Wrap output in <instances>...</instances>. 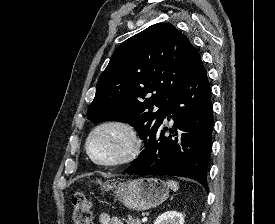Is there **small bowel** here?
I'll return each mask as SVG.
<instances>
[{
    "mask_svg": "<svg viewBox=\"0 0 275 224\" xmlns=\"http://www.w3.org/2000/svg\"><path fill=\"white\" fill-rule=\"evenodd\" d=\"M98 221L100 224H124L119 217L111 216L106 212L98 214Z\"/></svg>",
    "mask_w": 275,
    "mask_h": 224,
    "instance_id": "obj_1",
    "label": "small bowel"
}]
</instances>
